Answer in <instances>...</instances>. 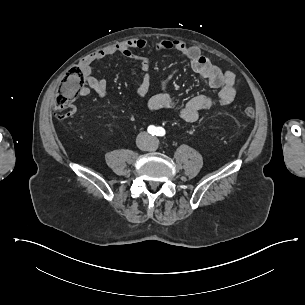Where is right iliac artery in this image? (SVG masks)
Wrapping results in <instances>:
<instances>
[{"label": "right iliac artery", "mask_w": 305, "mask_h": 305, "mask_svg": "<svg viewBox=\"0 0 305 305\" xmlns=\"http://www.w3.org/2000/svg\"><path fill=\"white\" fill-rule=\"evenodd\" d=\"M156 127L155 126H153V125H150L149 127H148V132L150 133V134H152V135H155L156 134Z\"/></svg>", "instance_id": "right-iliac-artery-1"}]
</instances>
